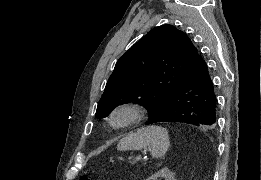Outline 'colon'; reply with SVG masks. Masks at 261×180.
I'll return each mask as SVG.
<instances>
[{
  "label": "colon",
  "mask_w": 261,
  "mask_h": 180,
  "mask_svg": "<svg viewBox=\"0 0 261 180\" xmlns=\"http://www.w3.org/2000/svg\"><path fill=\"white\" fill-rule=\"evenodd\" d=\"M81 180H90V176L89 175H86V174H83L81 176Z\"/></svg>",
  "instance_id": "1"
}]
</instances>
